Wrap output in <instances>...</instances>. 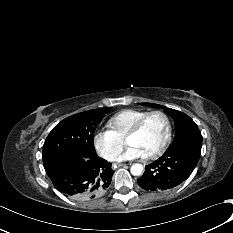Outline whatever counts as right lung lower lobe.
<instances>
[{
  "instance_id": "98d812e1",
  "label": "right lung lower lobe",
  "mask_w": 233,
  "mask_h": 233,
  "mask_svg": "<svg viewBox=\"0 0 233 233\" xmlns=\"http://www.w3.org/2000/svg\"><path fill=\"white\" fill-rule=\"evenodd\" d=\"M55 188L76 200H90L109 187L114 171L98 155H73L46 170Z\"/></svg>"
}]
</instances>
